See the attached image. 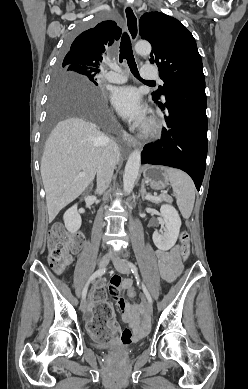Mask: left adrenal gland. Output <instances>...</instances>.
<instances>
[{"label": "left adrenal gland", "instance_id": "a2214340", "mask_svg": "<svg viewBox=\"0 0 248 389\" xmlns=\"http://www.w3.org/2000/svg\"><path fill=\"white\" fill-rule=\"evenodd\" d=\"M140 194H141L143 199L146 198L147 191H146V188H145V182L144 181H142V184H141Z\"/></svg>", "mask_w": 248, "mask_h": 389}]
</instances>
